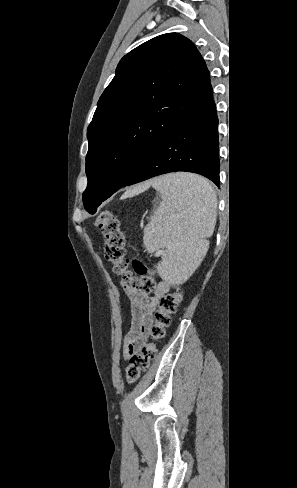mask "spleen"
Instances as JSON below:
<instances>
[{"label": "spleen", "mask_w": 297, "mask_h": 488, "mask_svg": "<svg viewBox=\"0 0 297 488\" xmlns=\"http://www.w3.org/2000/svg\"><path fill=\"white\" fill-rule=\"evenodd\" d=\"M162 201L144 229L148 252L163 250L159 275L182 281L195 267L196 253L216 222V195L204 178L187 173L167 174L153 180Z\"/></svg>", "instance_id": "obj_1"}]
</instances>
